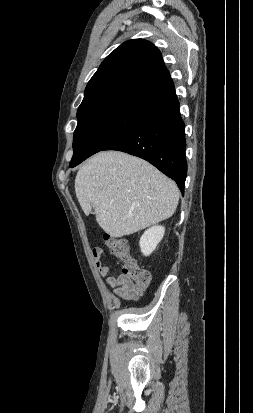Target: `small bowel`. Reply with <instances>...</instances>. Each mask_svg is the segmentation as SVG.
Returning a JSON list of instances; mask_svg holds the SVG:
<instances>
[{
  "instance_id": "small-bowel-1",
  "label": "small bowel",
  "mask_w": 253,
  "mask_h": 413,
  "mask_svg": "<svg viewBox=\"0 0 253 413\" xmlns=\"http://www.w3.org/2000/svg\"><path fill=\"white\" fill-rule=\"evenodd\" d=\"M91 253L99 275L105 278V283L113 288V292L117 297L125 301H134L141 297L147 286L135 284L120 272L112 273L109 266L102 264L104 251L101 247L94 246Z\"/></svg>"
}]
</instances>
